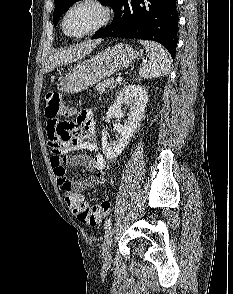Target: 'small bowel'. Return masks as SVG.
Listing matches in <instances>:
<instances>
[{
  "label": "small bowel",
  "instance_id": "obj_1",
  "mask_svg": "<svg viewBox=\"0 0 233 294\" xmlns=\"http://www.w3.org/2000/svg\"><path fill=\"white\" fill-rule=\"evenodd\" d=\"M65 110H58L56 117H48V143L53 151L51 166L58 186L63 192L70 190L77 193L94 188L106 182L104 169L106 161L96 142V129L91 110L79 112L77 121L66 120ZM89 151L94 155H68L73 151ZM68 167H81L92 175L81 181L70 180Z\"/></svg>",
  "mask_w": 233,
  "mask_h": 294
}]
</instances>
